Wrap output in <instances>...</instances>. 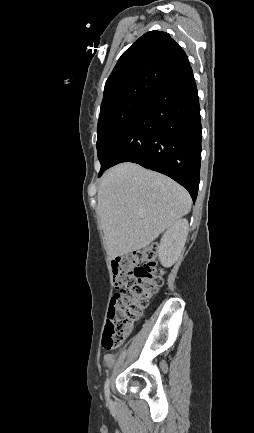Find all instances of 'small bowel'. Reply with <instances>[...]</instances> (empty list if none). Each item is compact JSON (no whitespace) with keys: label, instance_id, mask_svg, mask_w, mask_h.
<instances>
[{"label":"small bowel","instance_id":"small-bowel-1","mask_svg":"<svg viewBox=\"0 0 254 433\" xmlns=\"http://www.w3.org/2000/svg\"><path fill=\"white\" fill-rule=\"evenodd\" d=\"M111 360H112L111 355H106V356L104 357V362H105L106 364H109V363L111 362Z\"/></svg>","mask_w":254,"mask_h":433}]
</instances>
